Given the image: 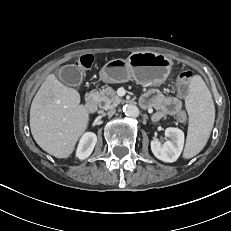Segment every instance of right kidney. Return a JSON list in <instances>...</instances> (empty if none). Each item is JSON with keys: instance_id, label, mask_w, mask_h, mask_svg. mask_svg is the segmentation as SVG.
<instances>
[{"instance_id": "ca27d5eb", "label": "right kidney", "mask_w": 231, "mask_h": 231, "mask_svg": "<svg viewBox=\"0 0 231 231\" xmlns=\"http://www.w3.org/2000/svg\"><path fill=\"white\" fill-rule=\"evenodd\" d=\"M97 142L96 134L92 132L85 133L78 145L76 156L84 160L91 155Z\"/></svg>"}]
</instances>
